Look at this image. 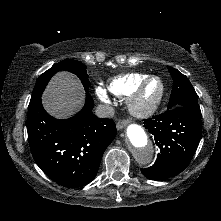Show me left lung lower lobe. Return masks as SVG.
Wrapping results in <instances>:
<instances>
[{
	"label": "left lung lower lobe",
	"instance_id": "obj_1",
	"mask_svg": "<svg viewBox=\"0 0 221 221\" xmlns=\"http://www.w3.org/2000/svg\"><path fill=\"white\" fill-rule=\"evenodd\" d=\"M160 149L153 166L141 169L145 177L163 180L182 172L190 163L201 139V114L175 107L144 120Z\"/></svg>",
	"mask_w": 221,
	"mask_h": 221
}]
</instances>
